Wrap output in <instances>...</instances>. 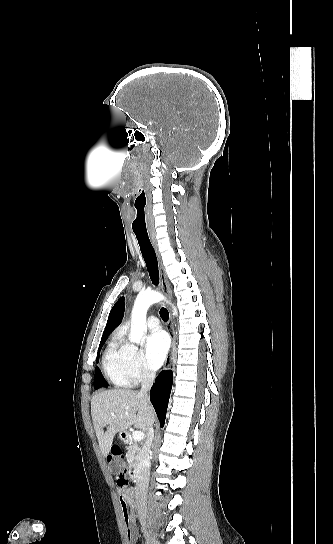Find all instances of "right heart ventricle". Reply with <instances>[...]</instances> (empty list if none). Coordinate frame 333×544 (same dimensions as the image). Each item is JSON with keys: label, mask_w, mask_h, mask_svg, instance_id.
<instances>
[{"label": "right heart ventricle", "mask_w": 333, "mask_h": 544, "mask_svg": "<svg viewBox=\"0 0 333 544\" xmlns=\"http://www.w3.org/2000/svg\"><path fill=\"white\" fill-rule=\"evenodd\" d=\"M103 372L106 379L116 386H129L122 356V342L118 336H113L102 359Z\"/></svg>", "instance_id": "right-heart-ventricle-1"}]
</instances>
